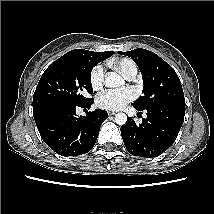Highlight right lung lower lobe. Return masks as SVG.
<instances>
[{
	"instance_id": "right-lung-lower-lobe-1",
	"label": "right lung lower lobe",
	"mask_w": 214,
	"mask_h": 214,
	"mask_svg": "<svg viewBox=\"0 0 214 214\" xmlns=\"http://www.w3.org/2000/svg\"><path fill=\"white\" fill-rule=\"evenodd\" d=\"M93 99L84 103H49L33 109L34 119L43 141L62 156H77L89 152L99 135L100 126L108 117L96 109L78 117L77 108L89 109Z\"/></svg>"
}]
</instances>
